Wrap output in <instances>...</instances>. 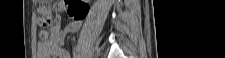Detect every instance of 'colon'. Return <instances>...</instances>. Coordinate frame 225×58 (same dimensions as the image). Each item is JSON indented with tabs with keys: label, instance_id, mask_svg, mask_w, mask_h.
<instances>
[{
	"label": "colon",
	"instance_id": "5ec220e1",
	"mask_svg": "<svg viewBox=\"0 0 225 58\" xmlns=\"http://www.w3.org/2000/svg\"><path fill=\"white\" fill-rule=\"evenodd\" d=\"M68 4L67 13L74 20H82L88 12V5L85 1L81 0H67ZM48 1H40V6L38 8L39 18L38 22L40 24H48L51 21V9L48 6Z\"/></svg>",
	"mask_w": 225,
	"mask_h": 58
}]
</instances>
